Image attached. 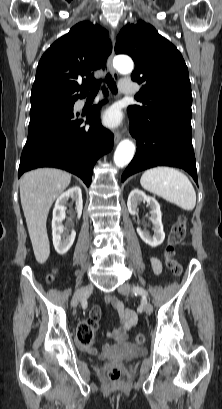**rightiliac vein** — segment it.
Instances as JSON below:
<instances>
[{"mask_svg":"<svg viewBox=\"0 0 222 409\" xmlns=\"http://www.w3.org/2000/svg\"><path fill=\"white\" fill-rule=\"evenodd\" d=\"M93 291V285H86L81 289L77 290L72 298L71 305L72 307H76L78 303L88 295H90Z\"/></svg>","mask_w":222,"mask_h":409,"instance_id":"1","label":"right iliac vein"}]
</instances>
